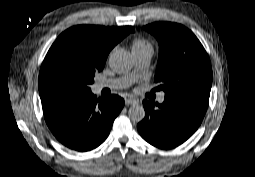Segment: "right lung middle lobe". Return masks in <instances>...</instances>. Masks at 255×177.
<instances>
[{"label":"right lung middle lobe","mask_w":255,"mask_h":177,"mask_svg":"<svg viewBox=\"0 0 255 177\" xmlns=\"http://www.w3.org/2000/svg\"><path fill=\"white\" fill-rule=\"evenodd\" d=\"M133 31V29H132ZM105 63L95 61L88 52L67 42L54 43L39 73L40 98L74 95L91 91L95 72Z\"/></svg>","instance_id":"dd1d6c3e"}]
</instances>
